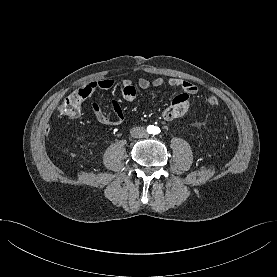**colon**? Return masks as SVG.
I'll use <instances>...</instances> for the list:
<instances>
[{"instance_id":"5ec220e1","label":"colon","mask_w":277,"mask_h":277,"mask_svg":"<svg viewBox=\"0 0 277 277\" xmlns=\"http://www.w3.org/2000/svg\"><path fill=\"white\" fill-rule=\"evenodd\" d=\"M86 99V94L82 91H76L67 96L58 107V113L67 117H78L82 112V103ZM206 103L209 107H216L219 103L218 98L210 94L206 97Z\"/></svg>"}]
</instances>
